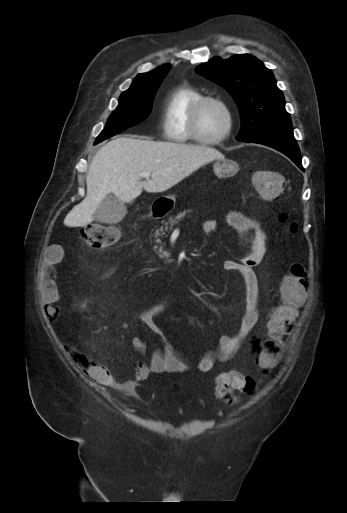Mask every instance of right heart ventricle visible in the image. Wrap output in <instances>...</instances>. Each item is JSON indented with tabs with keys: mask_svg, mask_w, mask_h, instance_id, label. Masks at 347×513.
I'll use <instances>...</instances> for the list:
<instances>
[{
	"mask_svg": "<svg viewBox=\"0 0 347 513\" xmlns=\"http://www.w3.org/2000/svg\"><path fill=\"white\" fill-rule=\"evenodd\" d=\"M204 96L189 84H181L168 95L163 110L164 136L175 143L197 142L190 133V113L196 102Z\"/></svg>",
	"mask_w": 347,
	"mask_h": 513,
	"instance_id": "1",
	"label": "right heart ventricle"
}]
</instances>
